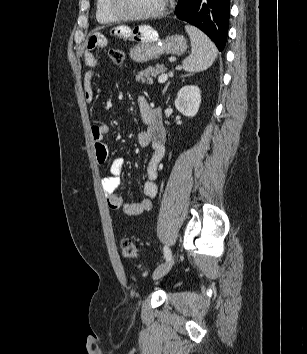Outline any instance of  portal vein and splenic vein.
<instances>
[{"instance_id": "1", "label": "portal vein and splenic vein", "mask_w": 307, "mask_h": 354, "mask_svg": "<svg viewBox=\"0 0 307 354\" xmlns=\"http://www.w3.org/2000/svg\"><path fill=\"white\" fill-rule=\"evenodd\" d=\"M168 80V75L167 74H161L159 77H158V82L159 83H164Z\"/></svg>"}]
</instances>
